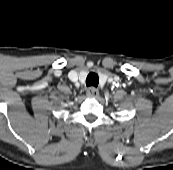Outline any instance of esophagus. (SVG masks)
<instances>
[{"mask_svg":"<svg viewBox=\"0 0 173 170\" xmlns=\"http://www.w3.org/2000/svg\"><path fill=\"white\" fill-rule=\"evenodd\" d=\"M86 94L88 98H96L99 95V91L95 87H89Z\"/></svg>","mask_w":173,"mask_h":170,"instance_id":"34e87169","label":"esophagus"}]
</instances>
